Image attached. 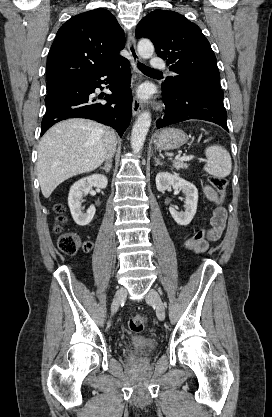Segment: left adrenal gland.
Here are the masks:
<instances>
[{"mask_svg": "<svg viewBox=\"0 0 272 417\" xmlns=\"http://www.w3.org/2000/svg\"><path fill=\"white\" fill-rule=\"evenodd\" d=\"M158 165H163V163L160 162V158H155V167Z\"/></svg>", "mask_w": 272, "mask_h": 417, "instance_id": "1", "label": "left adrenal gland"}]
</instances>
